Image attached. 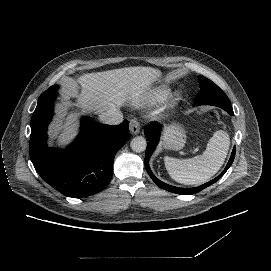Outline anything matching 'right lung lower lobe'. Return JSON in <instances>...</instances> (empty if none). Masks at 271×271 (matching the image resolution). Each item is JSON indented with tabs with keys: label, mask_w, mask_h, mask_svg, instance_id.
<instances>
[{
	"label": "right lung lower lobe",
	"mask_w": 271,
	"mask_h": 271,
	"mask_svg": "<svg viewBox=\"0 0 271 271\" xmlns=\"http://www.w3.org/2000/svg\"><path fill=\"white\" fill-rule=\"evenodd\" d=\"M56 96L54 91L41 94L38 99L30 124L31 161L41 178L67 197L98 193L112 178L114 156L129 138V123L110 126L83 118L80 133L71 146L65 150L50 149L46 144L47 127Z\"/></svg>",
	"instance_id": "1"
}]
</instances>
